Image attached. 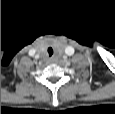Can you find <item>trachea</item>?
Masks as SVG:
<instances>
[{"label": "trachea", "instance_id": "trachea-1", "mask_svg": "<svg viewBox=\"0 0 115 114\" xmlns=\"http://www.w3.org/2000/svg\"><path fill=\"white\" fill-rule=\"evenodd\" d=\"M47 52H48L49 56L53 55V49L51 47L48 48Z\"/></svg>", "mask_w": 115, "mask_h": 114}]
</instances>
